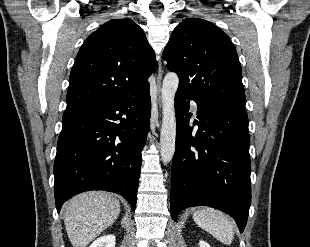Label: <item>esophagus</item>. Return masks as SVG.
<instances>
[{
	"label": "esophagus",
	"mask_w": 310,
	"mask_h": 247,
	"mask_svg": "<svg viewBox=\"0 0 310 247\" xmlns=\"http://www.w3.org/2000/svg\"><path fill=\"white\" fill-rule=\"evenodd\" d=\"M162 67H161V63L159 64V68H158V75H157V81H156V87H157V94H158V103L160 105L161 102V98H160V89H161V80H162Z\"/></svg>",
	"instance_id": "1"
}]
</instances>
